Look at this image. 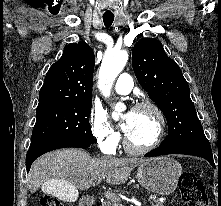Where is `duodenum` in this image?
Returning <instances> with one entry per match:
<instances>
[{"label": "duodenum", "instance_id": "410a0bca", "mask_svg": "<svg viewBox=\"0 0 221 206\" xmlns=\"http://www.w3.org/2000/svg\"><path fill=\"white\" fill-rule=\"evenodd\" d=\"M91 206H94L96 204V199L94 197H88L87 198Z\"/></svg>", "mask_w": 221, "mask_h": 206}]
</instances>
